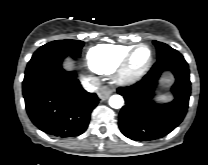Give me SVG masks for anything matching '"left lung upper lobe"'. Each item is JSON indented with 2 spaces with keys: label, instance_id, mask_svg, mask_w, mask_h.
Instances as JSON below:
<instances>
[{
  "label": "left lung upper lobe",
  "instance_id": "5c2ea615",
  "mask_svg": "<svg viewBox=\"0 0 208 165\" xmlns=\"http://www.w3.org/2000/svg\"><path fill=\"white\" fill-rule=\"evenodd\" d=\"M154 45L157 48V59L166 55L167 53L176 51L175 49L162 42L154 41Z\"/></svg>",
  "mask_w": 208,
  "mask_h": 165
}]
</instances>
